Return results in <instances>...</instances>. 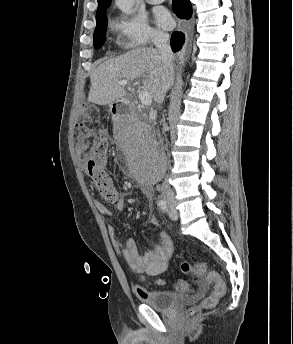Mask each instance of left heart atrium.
I'll return each instance as SVG.
<instances>
[{
  "mask_svg": "<svg viewBox=\"0 0 293 344\" xmlns=\"http://www.w3.org/2000/svg\"><path fill=\"white\" fill-rule=\"evenodd\" d=\"M155 20L162 28L168 29L171 27L172 19L169 13L164 9H157L155 11Z\"/></svg>",
  "mask_w": 293,
  "mask_h": 344,
  "instance_id": "left-heart-atrium-1",
  "label": "left heart atrium"
}]
</instances>
